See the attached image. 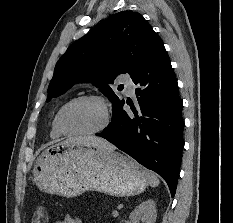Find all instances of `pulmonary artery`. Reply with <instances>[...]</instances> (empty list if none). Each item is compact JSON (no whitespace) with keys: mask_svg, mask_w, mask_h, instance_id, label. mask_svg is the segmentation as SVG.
<instances>
[{"mask_svg":"<svg viewBox=\"0 0 233 223\" xmlns=\"http://www.w3.org/2000/svg\"><path fill=\"white\" fill-rule=\"evenodd\" d=\"M118 79H121V83H123L131 96L135 95V83L131 79V74H118Z\"/></svg>","mask_w":233,"mask_h":223,"instance_id":"1","label":"pulmonary artery"}]
</instances>
